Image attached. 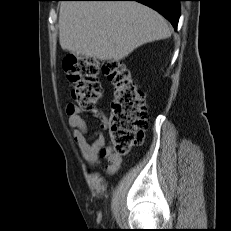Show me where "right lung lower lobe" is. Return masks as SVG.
Returning <instances> with one entry per match:
<instances>
[{"instance_id": "obj_1", "label": "right lung lower lobe", "mask_w": 231, "mask_h": 231, "mask_svg": "<svg viewBox=\"0 0 231 231\" xmlns=\"http://www.w3.org/2000/svg\"><path fill=\"white\" fill-rule=\"evenodd\" d=\"M82 1H137L158 11L177 29L179 20V1L181 0H82Z\"/></svg>"}]
</instances>
